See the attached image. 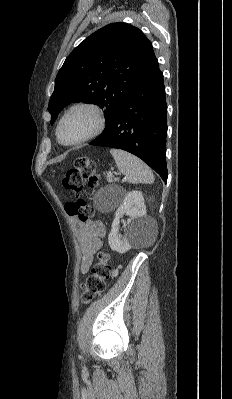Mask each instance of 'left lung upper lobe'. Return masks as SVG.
<instances>
[{
    "instance_id": "1",
    "label": "left lung upper lobe",
    "mask_w": 232,
    "mask_h": 399,
    "mask_svg": "<svg viewBox=\"0 0 232 399\" xmlns=\"http://www.w3.org/2000/svg\"><path fill=\"white\" fill-rule=\"evenodd\" d=\"M150 47L140 29L121 22L87 37L66 58L56 76L48 106L51 124L65 106L84 101L104 108L106 127L101 135L106 133Z\"/></svg>"
}]
</instances>
